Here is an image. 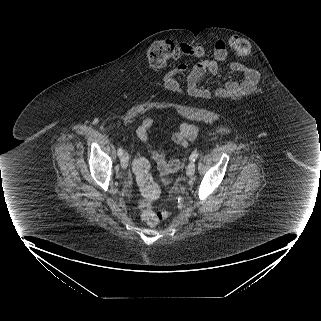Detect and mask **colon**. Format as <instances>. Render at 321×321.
Returning a JSON list of instances; mask_svg holds the SVG:
<instances>
[{"mask_svg": "<svg viewBox=\"0 0 321 321\" xmlns=\"http://www.w3.org/2000/svg\"><path fill=\"white\" fill-rule=\"evenodd\" d=\"M229 48L239 56L250 53V43L239 36H231L227 40ZM205 54V48L201 45H189L176 43L170 40H159L152 43L147 50V60L156 69L164 68L171 60L182 58H201ZM133 170L139 186L142 198L139 202L140 217L144 224L155 226L167 213L154 210L153 204L159 197L160 190L150 174V165L147 159L141 155L133 162ZM166 184L170 181L166 180Z\"/></svg>", "mask_w": 321, "mask_h": 321, "instance_id": "colon-1", "label": "colon"}]
</instances>
